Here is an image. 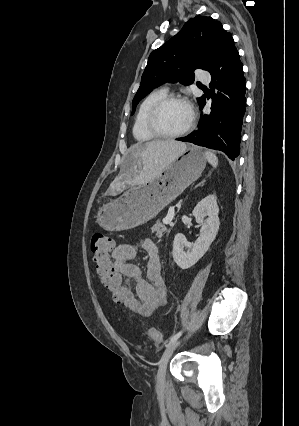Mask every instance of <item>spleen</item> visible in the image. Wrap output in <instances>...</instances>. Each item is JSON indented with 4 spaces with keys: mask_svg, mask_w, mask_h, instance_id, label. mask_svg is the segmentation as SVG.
I'll return each mask as SVG.
<instances>
[{
    "mask_svg": "<svg viewBox=\"0 0 299 426\" xmlns=\"http://www.w3.org/2000/svg\"><path fill=\"white\" fill-rule=\"evenodd\" d=\"M205 156H206V159H207V161L214 167V168H216L217 167V165H218V158L216 157V155L215 154H213L212 152H210V151H206L205 152Z\"/></svg>",
    "mask_w": 299,
    "mask_h": 426,
    "instance_id": "obj_1",
    "label": "spleen"
}]
</instances>
